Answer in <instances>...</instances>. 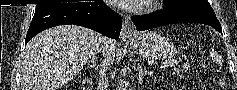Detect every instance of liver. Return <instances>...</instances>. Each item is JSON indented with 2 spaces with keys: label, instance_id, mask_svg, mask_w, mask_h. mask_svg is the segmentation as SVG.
Instances as JSON below:
<instances>
[{
  "label": "liver",
  "instance_id": "liver-1",
  "mask_svg": "<svg viewBox=\"0 0 237 90\" xmlns=\"http://www.w3.org/2000/svg\"><path fill=\"white\" fill-rule=\"evenodd\" d=\"M114 40L82 26H57L34 36L22 56V90H59ZM111 58V56H109Z\"/></svg>",
  "mask_w": 237,
  "mask_h": 90
}]
</instances>
